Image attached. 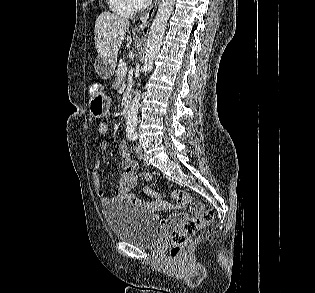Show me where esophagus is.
Masks as SVG:
<instances>
[{"label": "esophagus", "instance_id": "1", "mask_svg": "<svg viewBox=\"0 0 315 293\" xmlns=\"http://www.w3.org/2000/svg\"><path fill=\"white\" fill-rule=\"evenodd\" d=\"M160 0H154V2L152 3V5L147 9V11L145 12V14L142 17V22L143 25H148L150 24L156 9L159 5ZM134 31L136 32H141L142 31V25L138 24L135 28Z\"/></svg>", "mask_w": 315, "mask_h": 293}]
</instances>
